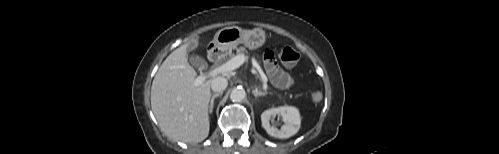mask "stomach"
Masks as SVG:
<instances>
[{
	"mask_svg": "<svg viewBox=\"0 0 499 154\" xmlns=\"http://www.w3.org/2000/svg\"><path fill=\"white\" fill-rule=\"evenodd\" d=\"M265 31L260 28L243 30L237 26L226 27L219 30L213 39L216 49L226 51L243 43L247 48L258 49L265 43Z\"/></svg>",
	"mask_w": 499,
	"mask_h": 154,
	"instance_id": "obj_1",
	"label": "stomach"
}]
</instances>
